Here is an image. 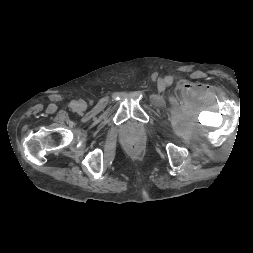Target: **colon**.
<instances>
[{
    "instance_id": "1",
    "label": "colon",
    "mask_w": 253,
    "mask_h": 253,
    "mask_svg": "<svg viewBox=\"0 0 253 253\" xmlns=\"http://www.w3.org/2000/svg\"><path fill=\"white\" fill-rule=\"evenodd\" d=\"M130 144H131V147H133V148H134V147H136L137 142H136V141H131V143H130Z\"/></svg>"
}]
</instances>
